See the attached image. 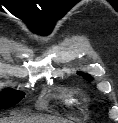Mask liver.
Wrapping results in <instances>:
<instances>
[{"label":"liver","mask_w":118,"mask_h":123,"mask_svg":"<svg viewBox=\"0 0 118 123\" xmlns=\"http://www.w3.org/2000/svg\"><path fill=\"white\" fill-rule=\"evenodd\" d=\"M0 123H71V121L49 116L15 115L10 118L0 119Z\"/></svg>","instance_id":"6515ba94"}]
</instances>
